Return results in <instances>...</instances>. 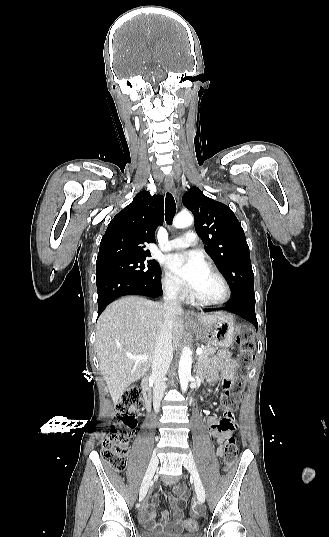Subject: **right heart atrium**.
Here are the masks:
<instances>
[{"mask_svg": "<svg viewBox=\"0 0 329 537\" xmlns=\"http://www.w3.org/2000/svg\"><path fill=\"white\" fill-rule=\"evenodd\" d=\"M162 286L165 293L173 299H180L183 295L181 283L170 273H165L163 276Z\"/></svg>", "mask_w": 329, "mask_h": 537, "instance_id": "1", "label": "right heart atrium"}]
</instances>
